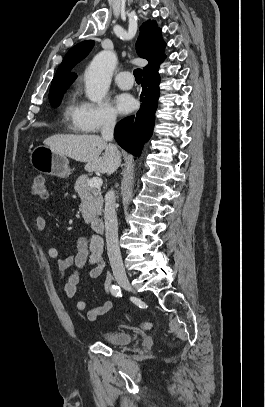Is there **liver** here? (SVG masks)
Returning <instances> with one entry per match:
<instances>
[{"instance_id":"liver-1","label":"liver","mask_w":265,"mask_h":407,"mask_svg":"<svg viewBox=\"0 0 265 407\" xmlns=\"http://www.w3.org/2000/svg\"><path fill=\"white\" fill-rule=\"evenodd\" d=\"M44 145L71 159L86 163L87 171L112 174L120 165L121 157L116 146L98 135H53ZM105 151L102 156V151Z\"/></svg>"}]
</instances>
